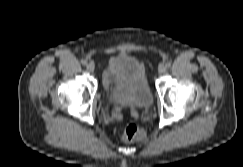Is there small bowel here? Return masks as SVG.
Returning <instances> with one entry per match:
<instances>
[{"mask_svg":"<svg viewBox=\"0 0 243 167\" xmlns=\"http://www.w3.org/2000/svg\"><path fill=\"white\" fill-rule=\"evenodd\" d=\"M111 83H112L111 77L107 74V75H106V78H105V84H106V86L108 87V86L111 85ZM112 113H113L114 118H116V119H120L121 116H122V109H121L120 107H116V108L113 110Z\"/></svg>","mask_w":243,"mask_h":167,"instance_id":"obj_1","label":"small bowel"}]
</instances>
